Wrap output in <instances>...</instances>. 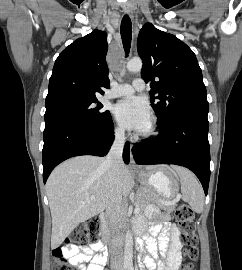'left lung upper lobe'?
<instances>
[{"instance_id": "left-lung-upper-lobe-1", "label": "left lung upper lobe", "mask_w": 242, "mask_h": 270, "mask_svg": "<svg viewBox=\"0 0 242 270\" xmlns=\"http://www.w3.org/2000/svg\"><path fill=\"white\" fill-rule=\"evenodd\" d=\"M137 51L143 61L141 76L151 81L149 94L158 125L184 114H208L202 71L185 43L147 23L138 35Z\"/></svg>"}]
</instances>
